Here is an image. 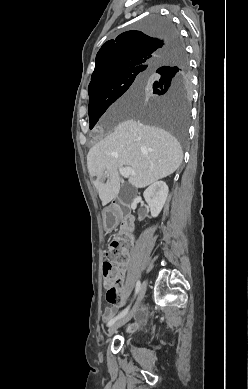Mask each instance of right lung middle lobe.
Here are the masks:
<instances>
[{
    "mask_svg": "<svg viewBox=\"0 0 248 389\" xmlns=\"http://www.w3.org/2000/svg\"><path fill=\"white\" fill-rule=\"evenodd\" d=\"M139 27L155 37L177 34L170 19L156 14L144 18ZM141 82H147L158 98L144 103L120 104L117 114L134 116L161 126L174 134L181 145H185L191 101L190 74L186 56L176 53L164 56L150 70L139 67L115 72L107 82L89 91L90 129L131 85L134 87Z\"/></svg>",
    "mask_w": 248,
    "mask_h": 389,
    "instance_id": "1",
    "label": "right lung middle lobe"
}]
</instances>
